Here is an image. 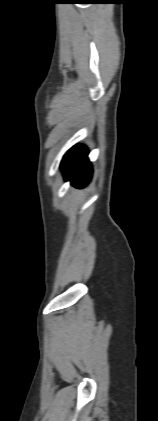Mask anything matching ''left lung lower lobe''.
I'll return each instance as SVG.
<instances>
[{
  "instance_id": "left-lung-lower-lobe-1",
  "label": "left lung lower lobe",
  "mask_w": 158,
  "mask_h": 421,
  "mask_svg": "<svg viewBox=\"0 0 158 421\" xmlns=\"http://www.w3.org/2000/svg\"><path fill=\"white\" fill-rule=\"evenodd\" d=\"M85 146L72 147L63 157L61 169L66 180H71L75 187L85 186L91 178V166L87 159Z\"/></svg>"
}]
</instances>
